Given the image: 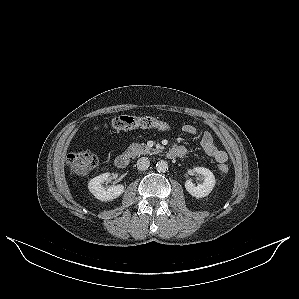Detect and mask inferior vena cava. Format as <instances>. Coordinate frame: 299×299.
I'll use <instances>...</instances> for the list:
<instances>
[{"instance_id": "602c4592", "label": "inferior vena cava", "mask_w": 299, "mask_h": 299, "mask_svg": "<svg viewBox=\"0 0 299 299\" xmlns=\"http://www.w3.org/2000/svg\"><path fill=\"white\" fill-rule=\"evenodd\" d=\"M150 166V161L147 157H141L137 161V168L139 170H146Z\"/></svg>"}]
</instances>
